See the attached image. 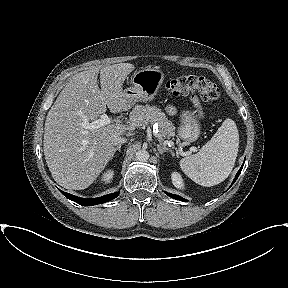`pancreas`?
<instances>
[{
    "mask_svg": "<svg viewBox=\"0 0 288 288\" xmlns=\"http://www.w3.org/2000/svg\"><path fill=\"white\" fill-rule=\"evenodd\" d=\"M130 121L137 127L153 124H159L158 139L164 140L174 136L175 126L168 120L166 115L155 106L136 105L130 112Z\"/></svg>",
    "mask_w": 288,
    "mask_h": 288,
    "instance_id": "cf45deb5",
    "label": "pancreas"
}]
</instances>
